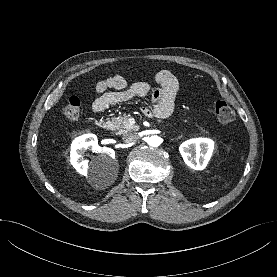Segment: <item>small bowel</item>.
I'll return each mask as SVG.
<instances>
[{"mask_svg": "<svg viewBox=\"0 0 277 277\" xmlns=\"http://www.w3.org/2000/svg\"><path fill=\"white\" fill-rule=\"evenodd\" d=\"M160 88L153 90L146 82L128 81L115 75L99 81L95 86L97 98L92 104V111L100 113L109 106L131 100L135 97H150L151 104L145 113L152 117L167 118L174 110V102L179 90L177 78L168 70H161L155 76Z\"/></svg>", "mask_w": 277, "mask_h": 277, "instance_id": "small-bowel-1", "label": "small bowel"}]
</instances>
